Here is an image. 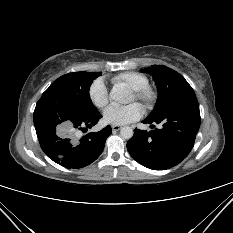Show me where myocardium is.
<instances>
[{"mask_svg":"<svg viewBox=\"0 0 233 233\" xmlns=\"http://www.w3.org/2000/svg\"><path fill=\"white\" fill-rule=\"evenodd\" d=\"M135 100L139 101L144 108L149 109L156 101L155 89L147 84L137 89H132Z\"/></svg>","mask_w":233,"mask_h":233,"instance_id":"f54148a6","label":"myocardium"}]
</instances>
